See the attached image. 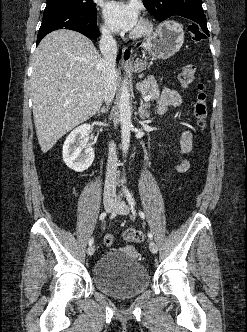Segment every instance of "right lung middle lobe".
Returning a JSON list of instances; mask_svg holds the SVG:
<instances>
[{
    "label": "right lung middle lobe",
    "instance_id": "obj_1",
    "mask_svg": "<svg viewBox=\"0 0 247 332\" xmlns=\"http://www.w3.org/2000/svg\"><path fill=\"white\" fill-rule=\"evenodd\" d=\"M45 10L76 9L89 14H96V4L92 0H46Z\"/></svg>",
    "mask_w": 247,
    "mask_h": 332
}]
</instances>
